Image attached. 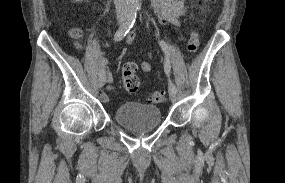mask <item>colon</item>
<instances>
[{"mask_svg":"<svg viewBox=\"0 0 285 183\" xmlns=\"http://www.w3.org/2000/svg\"><path fill=\"white\" fill-rule=\"evenodd\" d=\"M206 0H200V2H205ZM81 34L80 29H72V36L74 38H79ZM199 47V38L196 31H192L190 37L187 40L186 48L190 54L197 52ZM137 65L134 62H126L122 67V83L126 91L134 93L138 90L140 86V80L136 75ZM168 99L167 94L164 91H153L149 95V101L152 103H164Z\"/></svg>","mask_w":285,"mask_h":183,"instance_id":"obj_1","label":"colon"}]
</instances>
